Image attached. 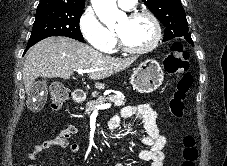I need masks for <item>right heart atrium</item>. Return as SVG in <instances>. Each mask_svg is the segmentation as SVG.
Returning <instances> with one entry per match:
<instances>
[{
  "label": "right heart atrium",
  "mask_w": 227,
  "mask_h": 166,
  "mask_svg": "<svg viewBox=\"0 0 227 166\" xmlns=\"http://www.w3.org/2000/svg\"><path fill=\"white\" fill-rule=\"evenodd\" d=\"M79 31L83 38L96 50L109 52L113 48L114 36L100 21L92 7L80 15Z\"/></svg>",
  "instance_id": "d8ad5b80"
}]
</instances>
